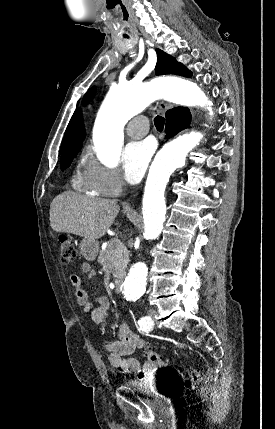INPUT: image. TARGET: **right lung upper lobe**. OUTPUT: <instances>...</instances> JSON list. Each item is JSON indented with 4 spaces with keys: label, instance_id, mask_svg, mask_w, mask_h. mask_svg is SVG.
I'll return each instance as SVG.
<instances>
[{
    "label": "right lung upper lobe",
    "instance_id": "1",
    "mask_svg": "<svg viewBox=\"0 0 275 429\" xmlns=\"http://www.w3.org/2000/svg\"><path fill=\"white\" fill-rule=\"evenodd\" d=\"M84 138L85 128L82 115L79 110H77L73 114L65 131L61 146V158L68 155L77 154L82 147Z\"/></svg>",
    "mask_w": 275,
    "mask_h": 429
}]
</instances>
